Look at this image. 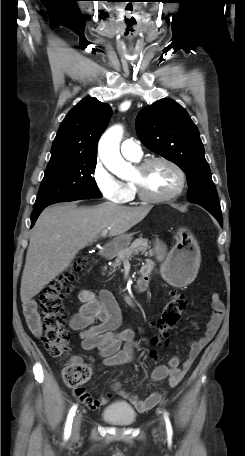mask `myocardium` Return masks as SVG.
<instances>
[{"label":"myocardium","instance_id":"obj_1","mask_svg":"<svg viewBox=\"0 0 245 456\" xmlns=\"http://www.w3.org/2000/svg\"><path fill=\"white\" fill-rule=\"evenodd\" d=\"M155 163H165L169 165L171 168L175 170L179 178L178 187L170 194L164 196H155L150 194L143 182V175L145 172ZM136 170L139 174V178L133 179L132 184L135 187V190L139 196V198L145 202L149 203H162L171 201L177 197H179L185 189L186 186V175L183 169L171 159L166 157H153L143 160L142 162L138 163L136 166Z\"/></svg>","mask_w":245,"mask_h":456}]
</instances>
